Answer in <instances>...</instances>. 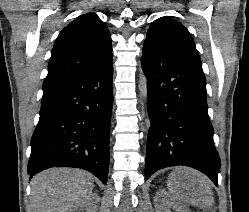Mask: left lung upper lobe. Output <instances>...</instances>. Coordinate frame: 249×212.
Wrapping results in <instances>:
<instances>
[{"instance_id": "5c2ea615", "label": "left lung upper lobe", "mask_w": 249, "mask_h": 212, "mask_svg": "<svg viewBox=\"0 0 249 212\" xmlns=\"http://www.w3.org/2000/svg\"><path fill=\"white\" fill-rule=\"evenodd\" d=\"M156 50L185 64L202 68L200 57L188 30L181 23L167 16L151 24L144 42L143 51Z\"/></svg>"}]
</instances>
